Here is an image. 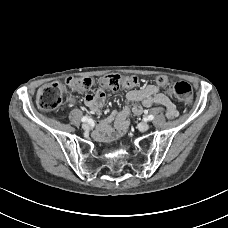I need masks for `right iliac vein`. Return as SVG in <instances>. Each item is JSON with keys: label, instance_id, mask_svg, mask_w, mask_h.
<instances>
[{"label": "right iliac vein", "instance_id": "63e3f726", "mask_svg": "<svg viewBox=\"0 0 228 228\" xmlns=\"http://www.w3.org/2000/svg\"><path fill=\"white\" fill-rule=\"evenodd\" d=\"M90 126L87 123L82 124V129L89 130Z\"/></svg>", "mask_w": 228, "mask_h": 228}]
</instances>
